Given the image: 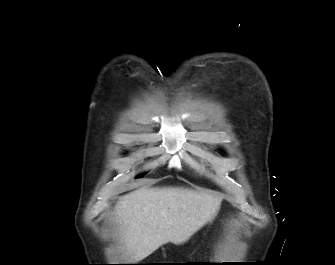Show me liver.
<instances>
[{
  "label": "liver",
  "instance_id": "obj_1",
  "mask_svg": "<svg viewBox=\"0 0 335 265\" xmlns=\"http://www.w3.org/2000/svg\"><path fill=\"white\" fill-rule=\"evenodd\" d=\"M221 200L184 187H143L117 204L121 243L134 261L169 242L183 244L216 214Z\"/></svg>",
  "mask_w": 335,
  "mask_h": 265
}]
</instances>
